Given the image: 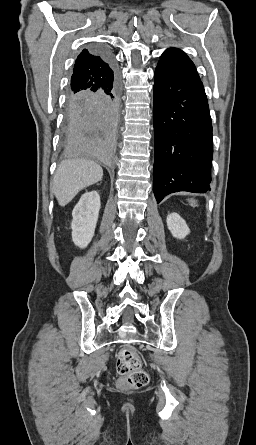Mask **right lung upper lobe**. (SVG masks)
<instances>
[{
    "label": "right lung upper lobe",
    "instance_id": "1",
    "mask_svg": "<svg viewBox=\"0 0 256 445\" xmlns=\"http://www.w3.org/2000/svg\"><path fill=\"white\" fill-rule=\"evenodd\" d=\"M111 75L109 61L101 50L84 49L74 65L69 96L95 91L106 85Z\"/></svg>",
    "mask_w": 256,
    "mask_h": 445
}]
</instances>
